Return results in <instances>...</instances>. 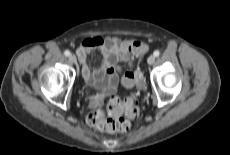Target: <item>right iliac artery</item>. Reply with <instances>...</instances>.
<instances>
[{
  "label": "right iliac artery",
  "instance_id": "82829eb1",
  "mask_svg": "<svg viewBox=\"0 0 230 155\" xmlns=\"http://www.w3.org/2000/svg\"><path fill=\"white\" fill-rule=\"evenodd\" d=\"M64 55H65V56H69V55H70V51L66 50V51L64 52Z\"/></svg>",
  "mask_w": 230,
  "mask_h": 155
}]
</instances>
